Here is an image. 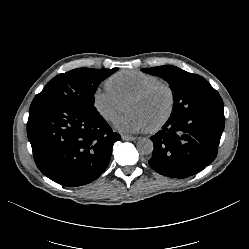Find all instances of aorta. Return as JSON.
<instances>
[{"mask_svg":"<svg viewBox=\"0 0 249 249\" xmlns=\"http://www.w3.org/2000/svg\"><path fill=\"white\" fill-rule=\"evenodd\" d=\"M153 142L148 138H140L137 141V151L142 155H149L153 152Z\"/></svg>","mask_w":249,"mask_h":249,"instance_id":"obj_1","label":"aorta"}]
</instances>
